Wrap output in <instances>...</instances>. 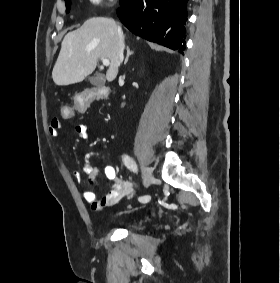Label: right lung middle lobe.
Returning a JSON list of instances; mask_svg holds the SVG:
<instances>
[{
    "label": "right lung middle lobe",
    "instance_id": "right-lung-middle-lobe-1",
    "mask_svg": "<svg viewBox=\"0 0 280 283\" xmlns=\"http://www.w3.org/2000/svg\"><path fill=\"white\" fill-rule=\"evenodd\" d=\"M125 0H120V5L124 2ZM66 2V13H68L70 11V7H71V0H65Z\"/></svg>",
    "mask_w": 280,
    "mask_h": 283
}]
</instances>
